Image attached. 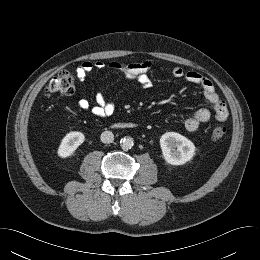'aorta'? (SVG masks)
<instances>
[{"label": "aorta", "instance_id": "obj_1", "mask_svg": "<svg viewBox=\"0 0 260 260\" xmlns=\"http://www.w3.org/2000/svg\"><path fill=\"white\" fill-rule=\"evenodd\" d=\"M134 141L131 137H124L120 140V146L123 150H129L133 147Z\"/></svg>", "mask_w": 260, "mask_h": 260}]
</instances>
